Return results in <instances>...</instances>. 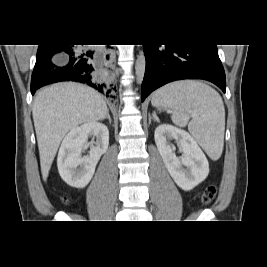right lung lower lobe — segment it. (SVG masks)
Returning <instances> with one entry per match:
<instances>
[{
    "label": "right lung lower lobe",
    "mask_w": 267,
    "mask_h": 267,
    "mask_svg": "<svg viewBox=\"0 0 267 267\" xmlns=\"http://www.w3.org/2000/svg\"><path fill=\"white\" fill-rule=\"evenodd\" d=\"M91 48L68 45H39L32 73L31 93L42 86L74 81L87 84L107 97L116 87L109 80L105 55ZM109 59V55H106Z\"/></svg>",
    "instance_id": "obj_1"
}]
</instances>
